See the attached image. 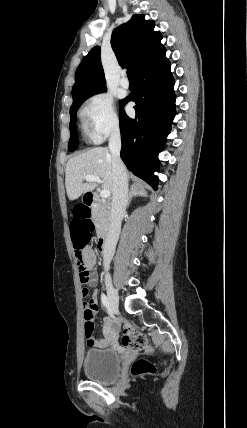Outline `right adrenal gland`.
<instances>
[{
    "label": "right adrenal gland",
    "mask_w": 247,
    "mask_h": 428,
    "mask_svg": "<svg viewBox=\"0 0 247 428\" xmlns=\"http://www.w3.org/2000/svg\"><path fill=\"white\" fill-rule=\"evenodd\" d=\"M135 196L146 197L147 196V192L141 186H138V185H135V184L131 185L130 191H129V197H128L127 206L130 205L132 197H135Z\"/></svg>",
    "instance_id": "obj_1"
}]
</instances>
